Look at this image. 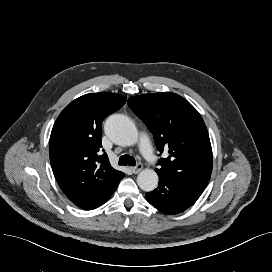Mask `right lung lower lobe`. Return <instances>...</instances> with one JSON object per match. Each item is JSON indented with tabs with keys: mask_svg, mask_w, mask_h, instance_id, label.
<instances>
[{
	"mask_svg": "<svg viewBox=\"0 0 272 272\" xmlns=\"http://www.w3.org/2000/svg\"><path fill=\"white\" fill-rule=\"evenodd\" d=\"M116 189V188H115ZM115 189L104 199V200H102L99 204H97L95 207H93L92 209H95V208H97V207H99V206H101L102 204H104L110 197H111V195L114 193V191H115ZM90 210V209H89Z\"/></svg>",
	"mask_w": 272,
	"mask_h": 272,
	"instance_id": "98d812e1",
	"label": "right lung lower lobe"
}]
</instances>
